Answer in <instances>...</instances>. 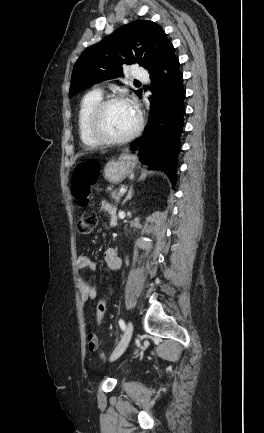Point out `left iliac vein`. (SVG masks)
<instances>
[{
    "instance_id": "1",
    "label": "left iliac vein",
    "mask_w": 264,
    "mask_h": 433,
    "mask_svg": "<svg viewBox=\"0 0 264 433\" xmlns=\"http://www.w3.org/2000/svg\"><path fill=\"white\" fill-rule=\"evenodd\" d=\"M132 333H133V324L131 321H129L127 323L126 328H125L124 335L120 341V344L117 346L115 351L112 353V355L110 357V361L116 360L117 358H119L123 354V352L126 350L128 344L131 340Z\"/></svg>"
}]
</instances>
